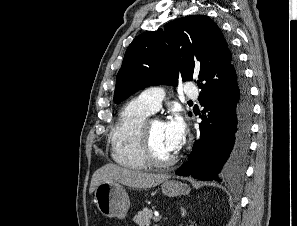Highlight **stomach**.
Returning <instances> with one entry per match:
<instances>
[{"mask_svg":"<svg viewBox=\"0 0 297 226\" xmlns=\"http://www.w3.org/2000/svg\"><path fill=\"white\" fill-rule=\"evenodd\" d=\"M161 189L168 197L185 195L190 192V187L174 180L166 179ZM95 203L99 211L106 217L125 218L130 206L128 194L124 187L118 182L100 183L94 193Z\"/></svg>","mask_w":297,"mask_h":226,"instance_id":"0dacf381","label":"stomach"}]
</instances>
